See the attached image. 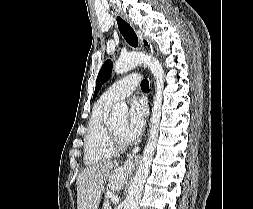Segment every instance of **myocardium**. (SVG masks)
<instances>
[{
  "label": "myocardium",
  "mask_w": 253,
  "mask_h": 209,
  "mask_svg": "<svg viewBox=\"0 0 253 209\" xmlns=\"http://www.w3.org/2000/svg\"><path fill=\"white\" fill-rule=\"evenodd\" d=\"M109 134L111 137L112 144L117 151H123V150L127 149L128 144L125 142L124 139H122L120 136H118L114 132L112 127H109Z\"/></svg>",
  "instance_id": "obj_1"
}]
</instances>
